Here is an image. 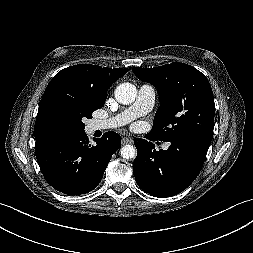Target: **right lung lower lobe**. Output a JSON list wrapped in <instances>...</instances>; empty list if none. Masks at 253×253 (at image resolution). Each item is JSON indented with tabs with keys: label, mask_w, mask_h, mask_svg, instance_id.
Listing matches in <instances>:
<instances>
[{
	"label": "right lung lower lobe",
	"mask_w": 253,
	"mask_h": 253,
	"mask_svg": "<svg viewBox=\"0 0 253 253\" xmlns=\"http://www.w3.org/2000/svg\"><path fill=\"white\" fill-rule=\"evenodd\" d=\"M35 154L46 181L67 195L87 193L99 184L121 137L112 131L91 145L85 132H52L35 138Z\"/></svg>",
	"instance_id": "obj_1"
}]
</instances>
